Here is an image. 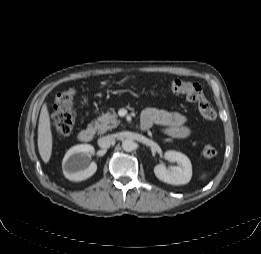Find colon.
Segmentation results:
<instances>
[{
  "instance_id": "colon-1",
  "label": "colon",
  "mask_w": 261,
  "mask_h": 254,
  "mask_svg": "<svg viewBox=\"0 0 261 254\" xmlns=\"http://www.w3.org/2000/svg\"><path fill=\"white\" fill-rule=\"evenodd\" d=\"M168 90L172 94L185 95L189 101L198 105L201 115L209 120L217 119V112L212 103L205 97L200 84L181 79H175L168 85ZM75 99L74 89H66L55 98L54 112L52 115V124L58 134L62 136L69 135L74 127L75 112L73 109ZM203 155L206 158H212L216 155L217 150L212 145L203 148Z\"/></svg>"
}]
</instances>
